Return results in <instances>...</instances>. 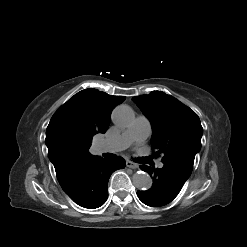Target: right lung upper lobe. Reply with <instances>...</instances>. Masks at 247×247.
I'll return each instance as SVG.
<instances>
[{
	"label": "right lung upper lobe",
	"instance_id": "right-lung-upper-lobe-1",
	"mask_svg": "<svg viewBox=\"0 0 247 247\" xmlns=\"http://www.w3.org/2000/svg\"><path fill=\"white\" fill-rule=\"evenodd\" d=\"M124 100L123 96L90 88L72 96L55 112L47 127L45 142L56 174L99 158L88 152L92 138L106 132L113 108Z\"/></svg>",
	"mask_w": 247,
	"mask_h": 247
}]
</instances>
